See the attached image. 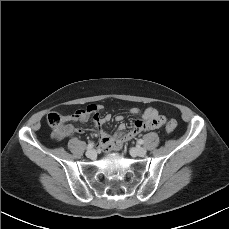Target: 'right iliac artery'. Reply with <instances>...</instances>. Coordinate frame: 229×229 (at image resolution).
Wrapping results in <instances>:
<instances>
[{"label":"right iliac artery","mask_w":229,"mask_h":229,"mask_svg":"<svg viewBox=\"0 0 229 229\" xmlns=\"http://www.w3.org/2000/svg\"><path fill=\"white\" fill-rule=\"evenodd\" d=\"M94 147V143L93 142H90L88 145H87V149H92Z\"/></svg>","instance_id":"obj_1"}]
</instances>
